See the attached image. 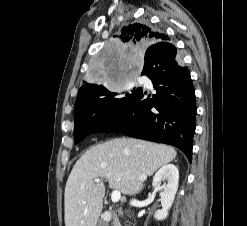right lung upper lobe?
Masks as SVG:
<instances>
[{"label":"right lung upper lobe","mask_w":247,"mask_h":226,"mask_svg":"<svg viewBox=\"0 0 247 226\" xmlns=\"http://www.w3.org/2000/svg\"><path fill=\"white\" fill-rule=\"evenodd\" d=\"M122 43L123 46L128 45H153L157 43H165L170 39L164 33L157 31L149 24L132 23L124 26L119 35H114ZM98 88L97 84L85 83L78 92L76 101L90 95Z\"/></svg>","instance_id":"cb5924a9"}]
</instances>
